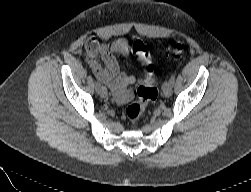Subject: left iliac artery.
<instances>
[{
    "instance_id": "1",
    "label": "left iliac artery",
    "mask_w": 251,
    "mask_h": 192,
    "mask_svg": "<svg viewBox=\"0 0 251 192\" xmlns=\"http://www.w3.org/2000/svg\"><path fill=\"white\" fill-rule=\"evenodd\" d=\"M169 81H170L172 84L174 83V81H175V75H174V74L171 75Z\"/></svg>"
}]
</instances>
